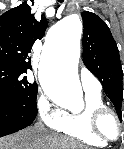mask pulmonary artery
<instances>
[{
    "label": "pulmonary artery",
    "mask_w": 124,
    "mask_h": 149,
    "mask_svg": "<svg viewBox=\"0 0 124 149\" xmlns=\"http://www.w3.org/2000/svg\"><path fill=\"white\" fill-rule=\"evenodd\" d=\"M80 80L82 88L85 92H100L102 86L99 80L86 67L80 69Z\"/></svg>",
    "instance_id": "obj_1"
}]
</instances>
